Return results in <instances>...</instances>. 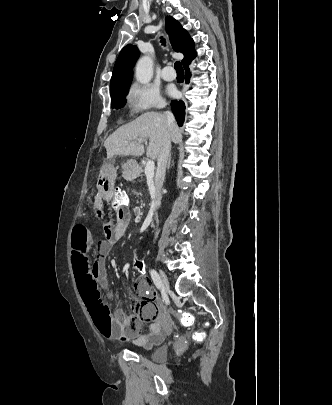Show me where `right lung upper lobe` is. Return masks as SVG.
I'll return each instance as SVG.
<instances>
[{
	"label": "right lung upper lobe",
	"mask_w": 332,
	"mask_h": 405,
	"mask_svg": "<svg viewBox=\"0 0 332 405\" xmlns=\"http://www.w3.org/2000/svg\"><path fill=\"white\" fill-rule=\"evenodd\" d=\"M165 20L166 31L174 51L184 54V59L182 60L184 66L196 57L194 42L177 20L171 16H167ZM139 54L137 46L132 44L125 46L121 50L113 69L110 81L111 89L120 83L132 81L133 66Z\"/></svg>",
	"instance_id": "cb5924a9"
}]
</instances>
